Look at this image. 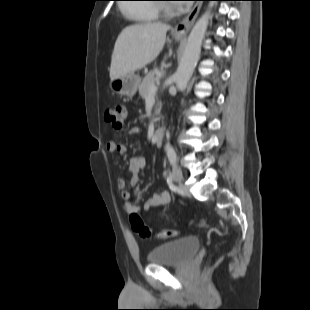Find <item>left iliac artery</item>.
Here are the masks:
<instances>
[{"label": "left iliac artery", "mask_w": 310, "mask_h": 310, "mask_svg": "<svg viewBox=\"0 0 310 310\" xmlns=\"http://www.w3.org/2000/svg\"><path fill=\"white\" fill-rule=\"evenodd\" d=\"M167 156L171 165H175L177 161V155L173 147L167 148Z\"/></svg>", "instance_id": "44dca946"}]
</instances>
